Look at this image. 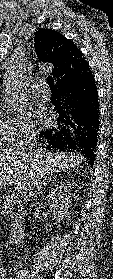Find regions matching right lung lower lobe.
I'll use <instances>...</instances> for the list:
<instances>
[{
	"label": "right lung lower lobe",
	"instance_id": "right-lung-lower-lobe-1",
	"mask_svg": "<svg viewBox=\"0 0 113 279\" xmlns=\"http://www.w3.org/2000/svg\"><path fill=\"white\" fill-rule=\"evenodd\" d=\"M57 124L39 137L50 150L79 152L93 165L99 130L98 91L86 65L82 72L57 85Z\"/></svg>",
	"mask_w": 113,
	"mask_h": 279
}]
</instances>
